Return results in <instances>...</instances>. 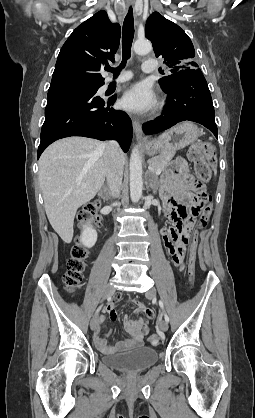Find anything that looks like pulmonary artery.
<instances>
[{
	"label": "pulmonary artery",
	"instance_id": "obj_1",
	"mask_svg": "<svg viewBox=\"0 0 255 418\" xmlns=\"http://www.w3.org/2000/svg\"><path fill=\"white\" fill-rule=\"evenodd\" d=\"M156 68H157V62L154 59L149 58V59H146L143 62L142 69L146 73L154 72L156 70ZM130 77H131L130 72H123L117 79H115V80L109 79L107 84H109L111 82L123 83V82L127 81L128 79H130Z\"/></svg>",
	"mask_w": 255,
	"mask_h": 418
}]
</instances>
